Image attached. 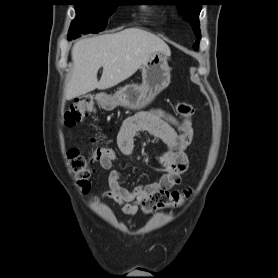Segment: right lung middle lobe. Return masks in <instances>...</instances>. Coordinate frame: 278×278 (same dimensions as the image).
Listing matches in <instances>:
<instances>
[{
    "instance_id": "1",
    "label": "right lung middle lobe",
    "mask_w": 278,
    "mask_h": 278,
    "mask_svg": "<svg viewBox=\"0 0 278 278\" xmlns=\"http://www.w3.org/2000/svg\"><path fill=\"white\" fill-rule=\"evenodd\" d=\"M77 17L71 23L68 39L81 33H98L107 25L108 18L116 11L121 0H72Z\"/></svg>"
}]
</instances>
